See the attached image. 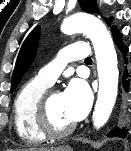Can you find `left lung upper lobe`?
I'll list each match as a JSON object with an SVG mask.
<instances>
[{
	"instance_id": "obj_1",
	"label": "left lung upper lobe",
	"mask_w": 131,
	"mask_h": 151,
	"mask_svg": "<svg viewBox=\"0 0 131 151\" xmlns=\"http://www.w3.org/2000/svg\"><path fill=\"white\" fill-rule=\"evenodd\" d=\"M79 3L83 11H86L88 13H98L96 0H79ZM111 32L113 33V35H115L119 33V30L116 27H112ZM39 37L40 26H37L30 32V34L24 41L18 54V58L12 75L11 91L15 90L21 78L32 64L38 48Z\"/></svg>"
}]
</instances>
